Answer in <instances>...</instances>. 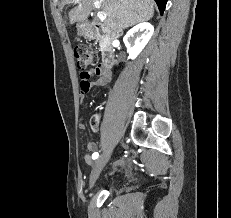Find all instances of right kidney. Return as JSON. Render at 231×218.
<instances>
[{
    "label": "right kidney",
    "mask_w": 231,
    "mask_h": 218,
    "mask_svg": "<svg viewBox=\"0 0 231 218\" xmlns=\"http://www.w3.org/2000/svg\"><path fill=\"white\" fill-rule=\"evenodd\" d=\"M154 32V27L147 22L130 29L123 38L130 59H135L146 46Z\"/></svg>",
    "instance_id": "right-kidney-1"
}]
</instances>
